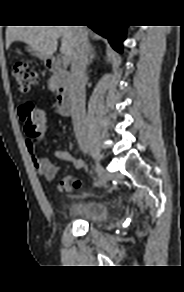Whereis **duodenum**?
<instances>
[{"instance_id": "410a0bca", "label": "duodenum", "mask_w": 184, "mask_h": 292, "mask_svg": "<svg viewBox=\"0 0 184 292\" xmlns=\"http://www.w3.org/2000/svg\"><path fill=\"white\" fill-rule=\"evenodd\" d=\"M48 70L55 75L58 84V107L61 115L72 116L79 103L76 87L71 82V74L63 69L57 58L51 57L47 62Z\"/></svg>"}]
</instances>
